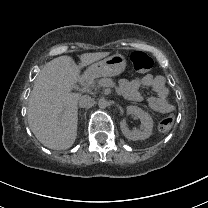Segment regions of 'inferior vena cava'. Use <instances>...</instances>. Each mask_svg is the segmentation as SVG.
I'll list each match as a JSON object with an SVG mask.
<instances>
[{
	"instance_id": "inferior-vena-cava-1",
	"label": "inferior vena cava",
	"mask_w": 208,
	"mask_h": 208,
	"mask_svg": "<svg viewBox=\"0 0 208 208\" xmlns=\"http://www.w3.org/2000/svg\"><path fill=\"white\" fill-rule=\"evenodd\" d=\"M93 100L88 95H83L79 98V107L80 108H86L90 104H92Z\"/></svg>"
}]
</instances>
